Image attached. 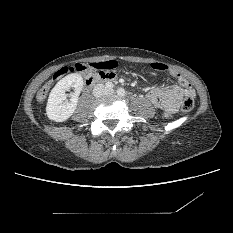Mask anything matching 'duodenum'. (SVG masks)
I'll list each match as a JSON object with an SVG mask.
<instances>
[{
	"mask_svg": "<svg viewBox=\"0 0 233 233\" xmlns=\"http://www.w3.org/2000/svg\"><path fill=\"white\" fill-rule=\"evenodd\" d=\"M108 82L110 81L109 75L103 72H97L95 74H89L86 78H85V84L87 86H92L95 83L98 82Z\"/></svg>",
	"mask_w": 233,
	"mask_h": 233,
	"instance_id": "obj_1",
	"label": "duodenum"
}]
</instances>
